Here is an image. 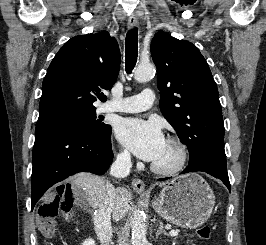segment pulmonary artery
<instances>
[{
	"mask_svg": "<svg viewBox=\"0 0 266 245\" xmlns=\"http://www.w3.org/2000/svg\"><path fill=\"white\" fill-rule=\"evenodd\" d=\"M153 92L142 91L136 96H127L125 99H111L104 105L107 112H142L149 109L153 104Z\"/></svg>",
	"mask_w": 266,
	"mask_h": 245,
	"instance_id": "1",
	"label": "pulmonary artery"
}]
</instances>
